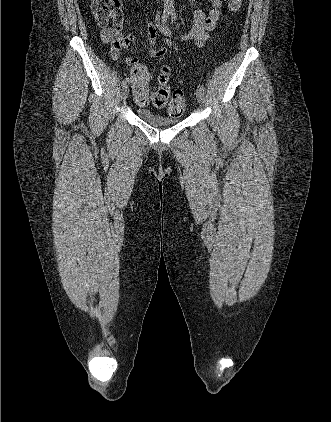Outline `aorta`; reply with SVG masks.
<instances>
[{
  "label": "aorta",
  "mask_w": 331,
  "mask_h": 422,
  "mask_svg": "<svg viewBox=\"0 0 331 422\" xmlns=\"http://www.w3.org/2000/svg\"><path fill=\"white\" fill-rule=\"evenodd\" d=\"M164 10L167 12L174 11V0H164Z\"/></svg>",
  "instance_id": "obj_1"
}]
</instances>
